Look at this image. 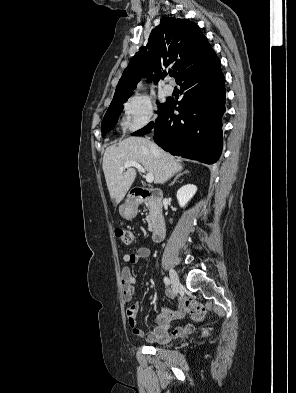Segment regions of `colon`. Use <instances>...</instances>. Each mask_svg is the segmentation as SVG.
<instances>
[{
	"label": "colon",
	"mask_w": 296,
	"mask_h": 393,
	"mask_svg": "<svg viewBox=\"0 0 296 393\" xmlns=\"http://www.w3.org/2000/svg\"><path fill=\"white\" fill-rule=\"evenodd\" d=\"M115 235L126 245H130L133 242V233L128 229L117 227L115 229ZM184 306L189 315L196 320H201L205 316L203 306L193 299H186Z\"/></svg>",
	"instance_id": "colon-1"
}]
</instances>
